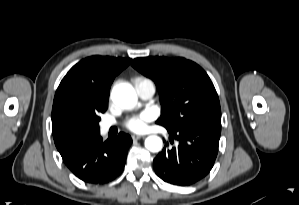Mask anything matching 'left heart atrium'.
Wrapping results in <instances>:
<instances>
[{"label":"left heart atrium","instance_id":"obj_1","mask_svg":"<svg viewBox=\"0 0 299 205\" xmlns=\"http://www.w3.org/2000/svg\"><path fill=\"white\" fill-rule=\"evenodd\" d=\"M152 119L150 112H143L141 114L130 117L125 122V127L133 132H141L145 129L146 123Z\"/></svg>","mask_w":299,"mask_h":205}]
</instances>
